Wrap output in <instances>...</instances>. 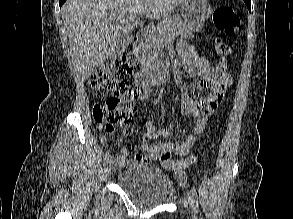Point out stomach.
I'll return each mask as SVG.
<instances>
[{"instance_id": "stomach-1", "label": "stomach", "mask_w": 293, "mask_h": 219, "mask_svg": "<svg viewBox=\"0 0 293 219\" xmlns=\"http://www.w3.org/2000/svg\"><path fill=\"white\" fill-rule=\"evenodd\" d=\"M180 13L190 30L200 31L213 9L206 0H186L181 4Z\"/></svg>"}]
</instances>
